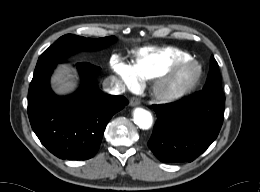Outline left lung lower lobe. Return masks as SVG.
<instances>
[{"mask_svg": "<svg viewBox=\"0 0 260 192\" xmlns=\"http://www.w3.org/2000/svg\"><path fill=\"white\" fill-rule=\"evenodd\" d=\"M222 89L198 91L168 104L157 114L148 147L162 162H191L217 138L224 119Z\"/></svg>", "mask_w": 260, "mask_h": 192, "instance_id": "1", "label": "left lung lower lobe"}]
</instances>
